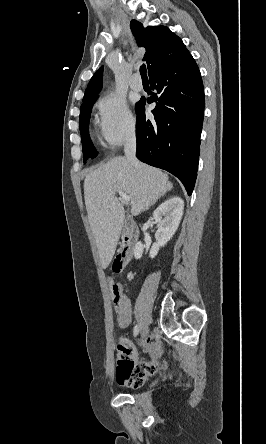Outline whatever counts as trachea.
I'll use <instances>...</instances> for the list:
<instances>
[{
	"label": "trachea",
	"mask_w": 266,
	"mask_h": 444,
	"mask_svg": "<svg viewBox=\"0 0 266 444\" xmlns=\"http://www.w3.org/2000/svg\"><path fill=\"white\" fill-rule=\"evenodd\" d=\"M140 74H141L142 79H148V77H147V69H146V65L145 64L141 65V67H140Z\"/></svg>",
	"instance_id": "3493384b"
}]
</instances>
